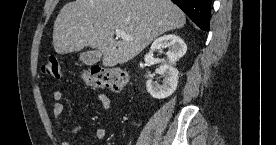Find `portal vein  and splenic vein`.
I'll use <instances>...</instances> for the list:
<instances>
[{"mask_svg":"<svg viewBox=\"0 0 276 145\" xmlns=\"http://www.w3.org/2000/svg\"><path fill=\"white\" fill-rule=\"evenodd\" d=\"M116 37L117 38H123V39H132L130 35H127L124 31L122 30H116L115 31Z\"/></svg>","mask_w":276,"mask_h":145,"instance_id":"portal-vein-and-splenic-vein-1","label":"portal vein and splenic vein"}]
</instances>
